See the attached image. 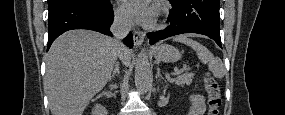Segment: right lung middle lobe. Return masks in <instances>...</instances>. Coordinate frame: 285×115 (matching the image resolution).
Returning a JSON list of instances; mask_svg holds the SVG:
<instances>
[{
	"mask_svg": "<svg viewBox=\"0 0 285 115\" xmlns=\"http://www.w3.org/2000/svg\"><path fill=\"white\" fill-rule=\"evenodd\" d=\"M68 1H79L95 6L106 5L108 3V0H48V8H52L58 4Z\"/></svg>",
	"mask_w": 285,
	"mask_h": 115,
	"instance_id": "dd1d6c3e",
	"label": "right lung middle lobe"
}]
</instances>
